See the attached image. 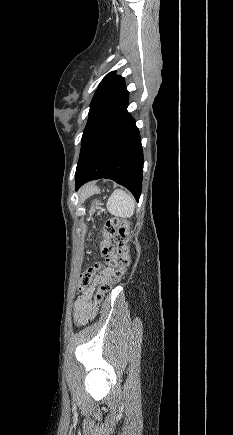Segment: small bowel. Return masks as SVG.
Masks as SVG:
<instances>
[{
	"instance_id": "c3829d8e",
	"label": "small bowel",
	"mask_w": 233,
	"mask_h": 435,
	"mask_svg": "<svg viewBox=\"0 0 233 435\" xmlns=\"http://www.w3.org/2000/svg\"><path fill=\"white\" fill-rule=\"evenodd\" d=\"M114 270L112 268H105L102 270V272L98 275L99 280H108L111 278ZM78 289L81 291L80 296L75 301L74 304V317L78 323H85L87 318V309L92 302L93 298V289L94 287H88L85 289H82L80 286V281L78 284Z\"/></svg>"
}]
</instances>
